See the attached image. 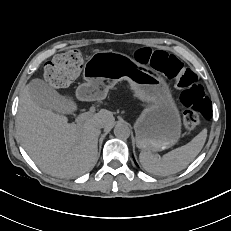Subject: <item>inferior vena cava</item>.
Segmentation results:
<instances>
[{
    "label": "inferior vena cava",
    "instance_id": "obj_1",
    "mask_svg": "<svg viewBox=\"0 0 231 231\" xmlns=\"http://www.w3.org/2000/svg\"><path fill=\"white\" fill-rule=\"evenodd\" d=\"M103 127H104V126H103V124H100V125H99V128H101V129H102Z\"/></svg>",
    "mask_w": 231,
    "mask_h": 231
}]
</instances>
